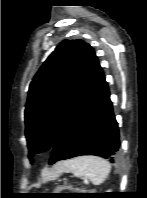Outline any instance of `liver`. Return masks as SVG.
Segmentation results:
<instances>
[{"mask_svg":"<svg viewBox=\"0 0 147 198\" xmlns=\"http://www.w3.org/2000/svg\"><path fill=\"white\" fill-rule=\"evenodd\" d=\"M67 164L68 161L57 163L50 172L43 174L42 176L43 181H47L50 179L54 180L57 177H59L64 171L67 170Z\"/></svg>","mask_w":147,"mask_h":198,"instance_id":"obj_1","label":"liver"}]
</instances>
